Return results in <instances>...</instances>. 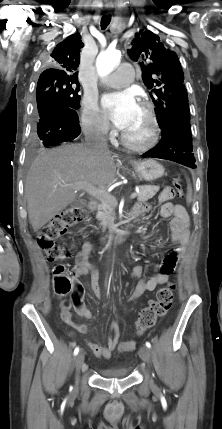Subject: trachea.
<instances>
[{"label":"trachea","mask_w":222,"mask_h":429,"mask_svg":"<svg viewBox=\"0 0 222 429\" xmlns=\"http://www.w3.org/2000/svg\"><path fill=\"white\" fill-rule=\"evenodd\" d=\"M111 21V16L110 15H104L101 18V29L104 30L107 28V26L109 25Z\"/></svg>","instance_id":"1"}]
</instances>
